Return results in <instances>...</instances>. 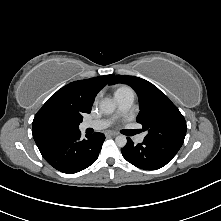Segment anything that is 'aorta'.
<instances>
[{
    "label": "aorta",
    "instance_id": "obj_1",
    "mask_svg": "<svg viewBox=\"0 0 221 221\" xmlns=\"http://www.w3.org/2000/svg\"><path fill=\"white\" fill-rule=\"evenodd\" d=\"M100 110L105 114H111L116 108V104L111 99H104L100 102ZM115 143L118 147H124L127 144L126 136L119 135L115 138Z\"/></svg>",
    "mask_w": 221,
    "mask_h": 221
}]
</instances>
